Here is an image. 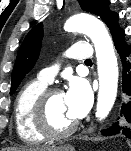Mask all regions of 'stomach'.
I'll return each instance as SVG.
<instances>
[{"mask_svg":"<svg viewBox=\"0 0 131 151\" xmlns=\"http://www.w3.org/2000/svg\"><path fill=\"white\" fill-rule=\"evenodd\" d=\"M56 151H75V150L74 147L67 145L59 147Z\"/></svg>","mask_w":131,"mask_h":151,"instance_id":"obj_1","label":"stomach"}]
</instances>
